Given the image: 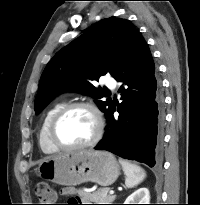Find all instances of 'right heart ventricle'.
I'll use <instances>...</instances> for the list:
<instances>
[{"label": "right heart ventricle", "instance_id": "obj_1", "mask_svg": "<svg viewBox=\"0 0 200 205\" xmlns=\"http://www.w3.org/2000/svg\"><path fill=\"white\" fill-rule=\"evenodd\" d=\"M64 105H65L64 102L55 103L53 106H51L48 109V111L46 112V114L43 118L42 125H41L40 131H39L38 140H39V145H40L42 151L45 153L51 154V153H55L58 151L53 146V144L51 143V141L49 139V126H50L51 120L54 117V115Z\"/></svg>", "mask_w": 200, "mask_h": 205}]
</instances>
